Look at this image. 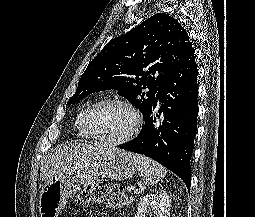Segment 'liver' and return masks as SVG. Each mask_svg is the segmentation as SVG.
<instances>
[{"mask_svg": "<svg viewBox=\"0 0 255 217\" xmlns=\"http://www.w3.org/2000/svg\"><path fill=\"white\" fill-rule=\"evenodd\" d=\"M106 147L97 143H68L46 155L41 161L40 178L48 181L60 172L70 170L93 156L99 155Z\"/></svg>", "mask_w": 255, "mask_h": 217, "instance_id": "6515ba94", "label": "liver"}]
</instances>
